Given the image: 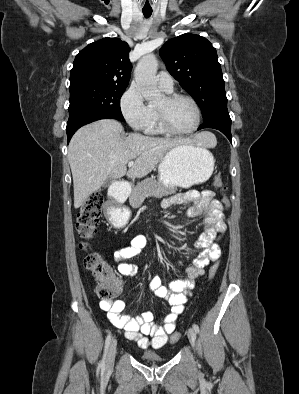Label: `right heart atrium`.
Masks as SVG:
<instances>
[{
	"mask_svg": "<svg viewBox=\"0 0 299 394\" xmlns=\"http://www.w3.org/2000/svg\"><path fill=\"white\" fill-rule=\"evenodd\" d=\"M121 111L134 130H145L151 119V108L135 85H131L121 98Z\"/></svg>",
	"mask_w": 299,
	"mask_h": 394,
	"instance_id": "right-heart-atrium-1",
	"label": "right heart atrium"
}]
</instances>
